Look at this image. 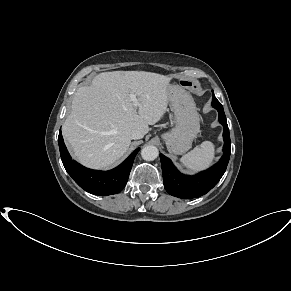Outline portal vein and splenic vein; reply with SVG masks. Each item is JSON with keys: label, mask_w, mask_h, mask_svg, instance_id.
<instances>
[{"label": "portal vein and splenic vein", "mask_w": 291, "mask_h": 291, "mask_svg": "<svg viewBox=\"0 0 291 291\" xmlns=\"http://www.w3.org/2000/svg\"><path fill=\"white\" fill-rule=\"evenodd\" d=\"M130 99L133 102L135 108H137L139 106V102H138V99H137L136 95L131 93L130 94Z\"/></svg>", "instance_id": "obj_1"}]
</instances>
